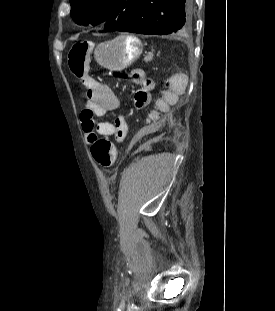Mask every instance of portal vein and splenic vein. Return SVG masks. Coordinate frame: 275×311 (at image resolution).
Segmentation results:
<instances>
[{
  "label": "portal vein and splenic vein",
  "instance_id": "obj_1",
  "mask_svg": "<svg viewBox=\"0 0 275 311\" xmlns=\"http://www.w3.org/2000/svg\"><path fill=\"white\" fill-rule=\"evenodd\" d=\"M152 57H153V54H152V53H149V54L147 55V60H146V61H150V60L152 59Z\"/></svg>",
  "mask_w": 275,
  "mask_h": 311
}]
</instances>
